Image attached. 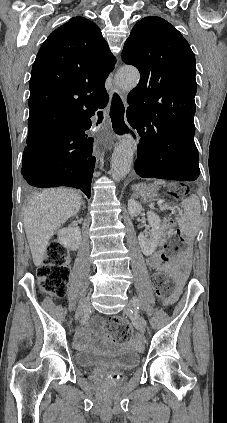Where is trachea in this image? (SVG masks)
<instances>
[{
  "mask_svg": "<svg viewBox=\"0 0 227 423\" xmlns=\"http://www.w3.org/2000/svg\"><path fill=\"white\" fill-rule=\"evenodd\" d=\"M98 116L103 117V113L101 111L98 112Z\"/></svg>",
  "mask_w": 227,
  "mask_h": 423,
  "instance_id": "1",
  "label": "trachea"
}]
</instances>
